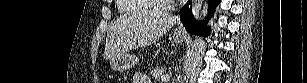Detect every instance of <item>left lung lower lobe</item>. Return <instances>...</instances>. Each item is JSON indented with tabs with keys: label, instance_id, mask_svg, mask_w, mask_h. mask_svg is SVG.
I'll use <instances>...</instances> for the list:
<instances>
[{
	"label": "left lung lower lobe",
	"instance_id": "left-lung-lower-lobe-1",
	"mask_svg": "<svg viewBox=\"0 0 307 83\" xmlns=\"http://www.w3.org/2000/svg\"><path fill=\"white\" fill-rule=\"evenodd\" d=\"M219 2L220 0H209L210 14H212V12L214 11L215 7L219 4ZM180 20L184 24L186 29L193 34H199V35L209 34V28L206 26L205 22L202 24V26H200L199 29H197L196 22H194L193 20L192 12L191 10H189L188 4L183 6Z\"/></svg>",
	"mask_w": 307,
	"mask_h": 83
}]
</instances>
